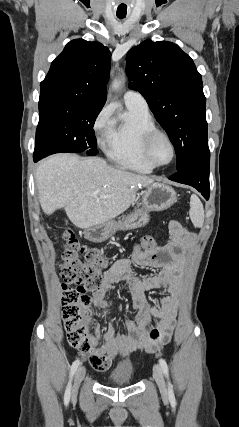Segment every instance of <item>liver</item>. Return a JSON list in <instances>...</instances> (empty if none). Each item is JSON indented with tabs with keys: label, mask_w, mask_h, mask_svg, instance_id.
<instances>
[{
	"label": "liver",
	"mask_w": 239,
	"mask_h": 427,
	"mask_svg": "<svg viewBox=\"0 0 239 427\" xmlns=\"http://www.w3.org/2000/svg\"><path fill=\"white\" fill-rule=\"evenodd\" d=\"M39 202L46 215L65 208L70 221L87 229L127 210L136 192L154 180L110 166L100 157L55 154L36 169Z\"/></svg>",
	"instance_id": "1"
}]
</instances>
